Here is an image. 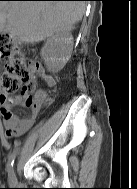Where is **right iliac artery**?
Returning a JSON list of instances; mask_svg holds the SVG:
<instances>
[{"label":"right iliac artery","instance_id":"1","mask_svg":"<svg viewBox=\"0 0 137 189\" xmlns=\"http://www.w3.org/2000/svg\"><path fill=\"white\" fill-rule=\"evenodd\" d=\"M18 153V150H14L13 153L9 156L8 163H7V172L9 174V181L13 182L12 174H13V166H14V161L16 158V155Z\"/></svg>","mask_w":137,"mask_h":189}]
</instances>
